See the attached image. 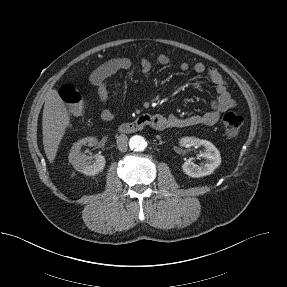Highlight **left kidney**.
Instances as JSON below:
<instances>
[{"label":"left kidney","instance_id":"5707ae66","mask_svg":"<svg viewBox=\"0 0 287 287\" xmlns=\"http://www.w3.org/2000/svg\"><path fill=\"white\" fill-rule=\"evenodd\" d=\"M181 146L194 144L196 146H203L205 151L200 153V157L206 159L205 164L202 163L200 166L192 162V159H188L182 165L183 172L192 177L199 178L210 175L217 169L221 164V156L218 149L207 140H200L192 137H184L180 140Z\"/></svg>","mask_w":287,"mask_h":287}]
</instances>
